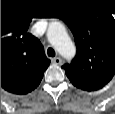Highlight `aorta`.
I'll use <instances>...</instances> for the list:
<instances>
[{
    "mask_svg": "<svg viewBox=\"0 0 115 114\" xmlns=\"http://www.w3.org/2000/svg\"><path fill=\"white\" fill-rule=\"evenodd\" d=\"M48 36L51 43L63 57L69 59L75 55V46L62 25L57 24L51 27Z\"/></svg>",
    "mask_w": 115,
    "mask_h": 114,
    "instance_id": "1",
    "label": "aorta"
}]
</instances>
